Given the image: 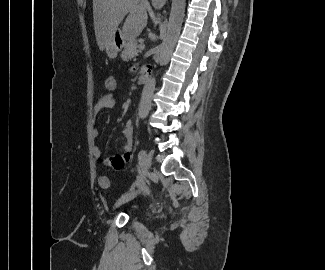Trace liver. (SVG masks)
Segmentation results:
<instances>
[{"instance_id": "liver-1", "label": "liver", "mask_w": 325, "mask_h": 270, "mask_svg": "<svg viewBox=\"0 0 325 270\" xmlns=\"http://www.w3.org/2000/svg\"><path fill=\"white\" fill-rule=\"evenodd\" d=\"M147 12L155 18L147 0H93L94 30L99 49H105L127 14L123 33L128 40L139 36L147 25Z\"/></svg>"}]
</instances>
